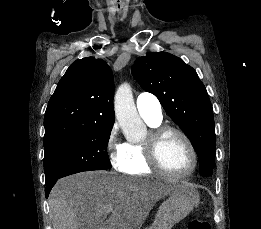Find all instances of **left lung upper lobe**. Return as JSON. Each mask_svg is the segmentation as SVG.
<instances>
[{
  "instance_id": "1",
  "label": "left lung upper lobe",
  "mask_w": 261,
  "mask_h": 229,
  "mask_svg": "<svg viewBox=\"0 0 261 229\" xmlns=\"http://www.w3.org/2000/svg\"><path fill=\"white\" fill-rule=\"evenodd\" d=\"M132 74L187 135L199 158L200 175L211 176L216 147L213 110L195 70L172 54L153 52L136 59Z\"/></svg>"
}]
</instances>
